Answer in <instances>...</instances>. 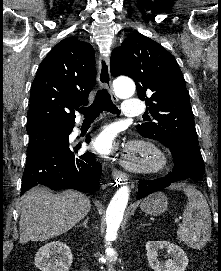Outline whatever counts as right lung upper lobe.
<instances>
[{"instance_id": "cb5924a9", "label": "right lung upper lobe", "mask_w": 221, "mask_h": 271, "mask_svg": "<svg viewBox=\"0 0 221 271\" xmlns=\"http://www.w3.org/2000/svg\"><path fill=\"white\" fill-rule=\"evenodd\" d=\"M95 52L87 42L66 38L40 64L32 83L27 131L74 127V109L88 103L96 84Z\"/></svg>"}]
</instances>
